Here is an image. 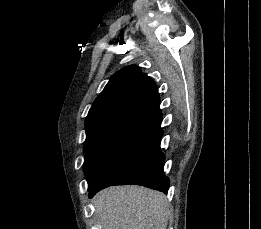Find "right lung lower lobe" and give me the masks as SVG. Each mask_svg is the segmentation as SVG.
I'll use <instances>...</instances> for the list:
<instances>
[{"label":"right lung lower lobe","instance_id":"right-lung-lower-lobe-1","mask_svg":"<svg viewBox=\"0 0 261 229\" xmlns=\"http://www.w3.org/2000/svg\"><path fill=\"white\" fill-rule=\"evenodd\" d=\"M162 134L159 128L140 146L109 166L88 188L90 197L110 185L126 184L142 185L166 193L169 179L163 171L165 157L160 149Z\"/></svg>","mask_w":261,"mask_h":229}]
</instances>
